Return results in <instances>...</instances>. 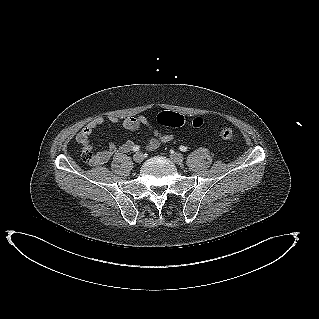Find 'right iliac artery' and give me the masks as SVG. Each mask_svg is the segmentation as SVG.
<instances>
[{
	"mask_svg": "<svg viewBox=\"0 0 319 319\" xmlns=\"http://www.w3.org/2000/svg\"><path fill=\"white\" fill-rule=\"evenodd\" d=\"M139 149H140V147L136 145V146L133 147L132 150L135 152V151H138Z\"/></svg>",
	"mask_w": 319,
	"mask_h": 319,
	"instance_id": "82829eb1",
	"label": "right iliac artery"
}]
</instances>
